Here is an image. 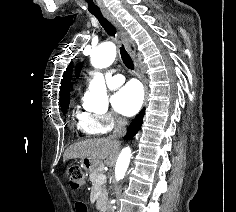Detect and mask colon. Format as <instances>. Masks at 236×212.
<instances>
[{"instance_id":"1","label":"colon","mask_w":236,"mask_h":212,"mask_svg":"<svg viewBox=\"0 0 236 212\" xmlns=\"http://www.w3.org/2000/svg\"><path fill=\"white\" fill-rule=\"evenodd\" d=\"M68 181L72 189L78 190L80 189L85 183V174L83 170L76 166L72 165L67 170ZM86 205V204H82Z\"/></svg>"}]
</instances>
